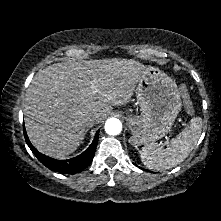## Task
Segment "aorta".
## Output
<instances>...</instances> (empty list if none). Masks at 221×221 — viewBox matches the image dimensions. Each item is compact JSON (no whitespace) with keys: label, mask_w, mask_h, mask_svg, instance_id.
<instances>
[{"label":"aorta","mask_w":221,"mask_h":221,"mask_svg":"<svg viewBox=\"0 0 221 221\" xmlns=\"http://www.w3.org/2000/svg\"><path fill=\"white\" fill-rule=\"evenodd\" d=\"M122 130V123L119 119L110 118L105 123V131L109 135H118Z\"/></svg>","instance_id":"aorta-1"}]
</instances>
